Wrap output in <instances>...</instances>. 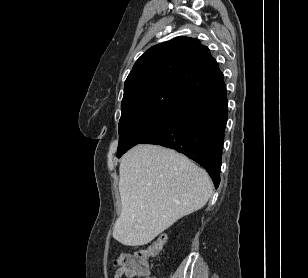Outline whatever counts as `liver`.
<instances>
[{
    "instance_id": "1",
    "label": "liver",
    "mask_w": 308,
    "mask_h": 278,
    "mask_svg": "<svg viewBox=\"0 0 308 278\" xmlns=\"http://www.w3.org/2000/svg\"><path fill=\"white\" fill-rule=\"evenodd\" d=\"M122 211L113 238L123 245L151 242L180 218L201 209L211 197L205 170L175 150L138 144L119 167Z\"/></svg>"
}]
</instances>
